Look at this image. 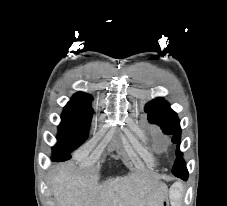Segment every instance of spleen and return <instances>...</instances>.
I'll return each instance as SVG.
<instances>
[{
	"mask_svg": "<svg viewBox=\"0 0 227 206\" xmlns=\"http://www.w3.org/2000/svg\"><path fill=\"white\" fill-rule=\"evenodd\" d=\"M170 197L173 200V202L175 203V205L178 206L179 200L181 198V193L177 187L171 189Z\"/></svg>",
	"mask_w": 227,
	"mask_h": 206,
	"instance_id": "obj_1",
	"label": "spleen"
}]
</instances>
